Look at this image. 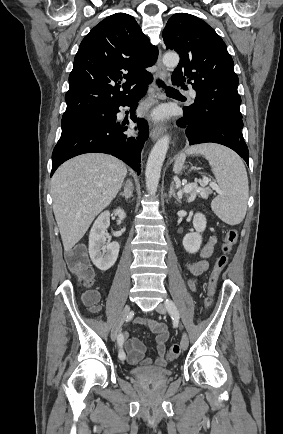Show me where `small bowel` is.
<instances>
[{"label": "small bowel", "mask_w": 283, "mask_h": 434, "mask_svg": "<svg viewBox=\"0 0 283 434\" xmlns=\"http://www.w3.org/2000/svg\"><path fill=\"white\" fill-rule=\"evenodd\" d=\"M217 242V238L215 235L210 236L209 240L202 247L200 251L201 260L195 263H189L187 268L189 272L197 277L205 272L209 268L208 259L212 256L214 251V246ZM189 286L192 290L195 289V280H189ZM98 295V294H97ZM97 310V307L94 309ZM136 324L145 326L151 333L155 334V341L157 346L158 356L152 360L149 357H144L145 354V345L144 343L137 339L129 337V332L124 333V342L123 347L125 350V355H127V360L130 364L136 365L139 362L144 366L155 365L157 367L163 368L166 366L167 362L165 359V351H166V342L169 337V333L165 327V325L156 322L152 319H140L136 321Z\"/></svg>", "instance_id": "small-bowel-1"}]
</instances>
